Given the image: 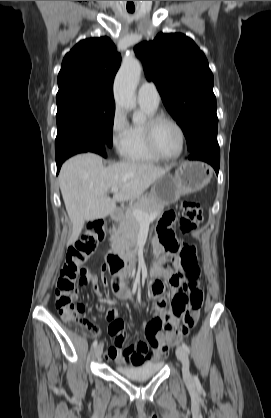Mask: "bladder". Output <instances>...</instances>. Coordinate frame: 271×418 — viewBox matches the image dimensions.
Masks as SVG:
<instances>
[{
    "mask_svg": "<svg viewBox=\"0 0 271 418\" xmlns=\"http://www.w3.org/2000/svg\"><path fill=\"white\" fill-rule=\"evenodd\" d=\"M162 367V361L145 362L136 366L117 365L116 371L130 380L144 381L156 375Z\"/></svg>",
    "mask_w": 271,
    "mask_h": 418,
    "instance_id": "31cf9c89",
    "label": "bladder"
}]
</instances>
